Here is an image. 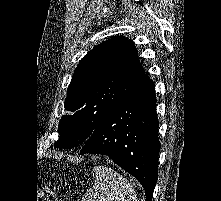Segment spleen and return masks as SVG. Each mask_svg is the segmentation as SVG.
I'll return each mask as SVG.
<instances>
[{
  "mask_svg": "<svg viewBox=\"0 0 221 201\" xmlns=\"http://www.w3.org/2000/svg\"><path fill=\"white\" fill-rule=\"evenodd\" d=\"M94 185L81 201H137L131 184L118 172L105 166L93 168Z\"/></svg>",
  "mask_w": 221,
  "mask_h": 201,
  "instance_id": "spleen-1",
  "label": "spleen"
}]
</instances>
